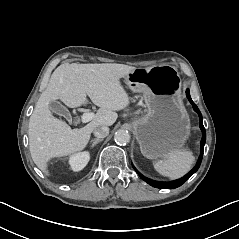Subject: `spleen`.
Here are the masks:
<instances>
[{
  "label": "spleen",
  "mask_w": 239,
  "mask_h": 239,
  "mask_svg": "<svg viewBox=\"0 0 239 239\" xmlns=\"http://www.w3.org/2000/svg\"><path fill=\"white\" fill-rule=\"evenodd\" d=\"M195 157L189 151H179L171 154L165 160L154 164L157 172L172 180L179 179L186 175L192 168Z\"/></svg>",
  "instance_id": "obj_1"
}]
</instances>
